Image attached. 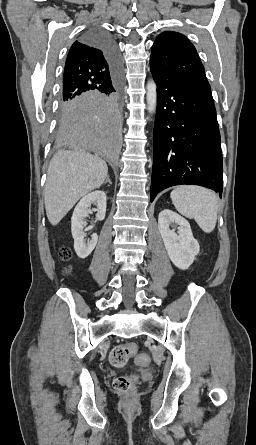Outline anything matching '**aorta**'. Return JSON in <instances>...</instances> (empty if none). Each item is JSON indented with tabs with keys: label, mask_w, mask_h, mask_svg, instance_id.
<instances>
[{
	"label": "aorta",
	"mask_w": 256,
	"mask_h": 445,
	"mask_svg": "<svg viewBox=\"0 0 256 445\" xmlns=\"http://www.w3.org/2000/svg\"><path fill=\"white\" fill-rule=\"evenodd\" d=\"M146 89L147 110L150 114H152L154 113L157 105V86L153 79L147 83Z\"/></svg>",
	"instance_id": "aorta-1"
}]
</instances>
